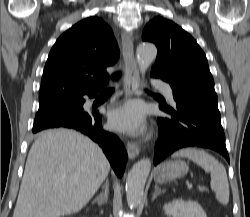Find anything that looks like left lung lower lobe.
<instances>
[{
	"instance_id": "obj_1",
	"label": "left lung lower lobe",
	"mask_w": 250,
	"mask_h": 217,
	"mask_svg": "<svg viewBox=\"0 0 250 217\" xmlns=\"http://www.w3.org/2000/svg\"><path fill=\"white\" fill-rule=\"evenodd\" d=\"M173 97L174 107L160 106L170 116L157 119L160 140L155 147L154 164L185 147L213 149L229 162L216 93L173 89Z\"/></svg>"
}]
</instances>
